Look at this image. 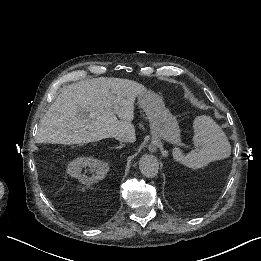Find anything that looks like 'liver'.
Segmentation results:
<instances>
[{
  "mask_svg": "<svg viewBox=\"0 0 261 261\" xmlns=\"http://www.w3.org/2000/svg\"><path fill=\"white\" fill-rule=\"evenodd\" d=\"M145 93L143 85L117 78H96L66 86L41 119L38 141L80 145L116 138L133 143L135 103Z\"/></svg>",
  "mask_w": 261,
  "mask_h": 261,
  "instance_id": "1",
  "label": "liver"
}]
</instances>
